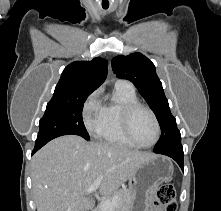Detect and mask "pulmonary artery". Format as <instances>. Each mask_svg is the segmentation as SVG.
Returning a JSON list of instances; mask_svg holds the SVG:
<instances>
[{"label":"pulmonary artery","mask_w":221,"mask_h":211,"mask_svg":"<svg viewBox=\"0 0 221 211\" xmlns=\"http://www.w3.org/2000/svg\"><path fill=\"white\" fill-rule=\"evenodd\" d=\"M115 85H120V86H126V87L133 88V85L129 81L124 80V79L117 80Z\"/></svg>","instance_id":"pulmonary-artery-1"}]
</instances>
